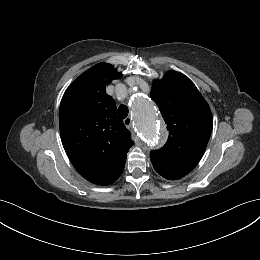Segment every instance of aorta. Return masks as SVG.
Returning a JSON list of instances; mask_svg holds the SVG:
<instances>
[{
    "label": "aorta",
    "instance_id": "obj_1",
    "mask_svg": "<svg viewBox=\"0 0 260 260\" xmlns=\"http://www.w3.org/2000/svg\"><path fill=\"white\" fill-rule=\"evenodd\" d=\"M131 107L138 134L149 148H158L163 140L154 105L144 96L137 95L133 98Z\"/></svg>",
    "mask_w": 260,
    "mask_h": 260
}]
</instances>
